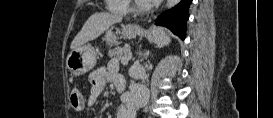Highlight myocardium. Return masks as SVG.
<instances>
[{
  "label": "myocardium",
  "instance_id": "obj_1",
  "mask_svg": "<svg viewBox=\"0 0 273 118\" xmlns=\"http://www.w3.org/2000/svg\"><path fill=\"white\" fill-rule=\"evenodd\" d=\"M131 2V11L142 14L149 11V6L146 4H141L137 1H130Z\"/></svg>",
  "mask_w": 273,
  "mask_h": 118
}]
</instances>
